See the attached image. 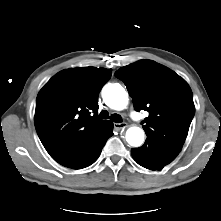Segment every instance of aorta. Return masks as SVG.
I'll return each mask as SVG.
<instances>
[{
    "label": "aorta",
    "instance_id": "762f6f07",
    "mask_svg": "<svg viewBox=\"0 0 221 221\" xmlns=\"http://www.w3.org/2000/svg\"><path fill=\"white\" fill-rule=\"evenodd\" d=\"M102 96L107 106L114 110H123L128 104V93L118 83L104 86ZM126 141L133 147H139L144 142V131L139 127H130L126 131Z\"/></svg>",
    "mask_w": 221,
    "mask_h": 221
}]
</instances>
